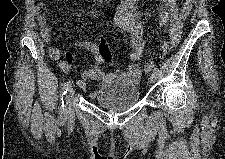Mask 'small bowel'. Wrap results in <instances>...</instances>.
<instances>
[{
  "label": "small bowel",
  "mask_w": 225,
  "mask_h": 159,
  "mask_svg": "<svg viewBox=\"0 0 225 159\" xmlns=\"http://www.w3.org/2000/svg\"><path fill=\"white\" fill-rule=\"evenodd\" d=\"M138 0H125L116 10L113 22L115 26L127 34L131 52L129 54L130 62L125 69H115L109 73L102 70L104 62L113 65L111 51L107 42L102 36H99L96 42L78 41L74 43L77 48H83L89 51L93 57L94 65L86 70L82 78L77 81L78 86L85 90L87 81H100L102 84L112 82L114 80L127 81L136 84L142 76V69L139 61L144 56L146 41L143 39L142 26L139 21L135 5ZM45 6L43 3H36L34 10L36 13V21L40 28V36L43 41L50 44V27L47 19L43 14ZM192 8V3L186 1L183 7L179 10L174 0H163L160 12V25L163 27L169 21L171 23L169 38L173 47H175L181 38L182 26L185 18ZM49 56L52 60L58 62L59 68L63 72H69L72 67V56L69 52L66 53V60H60L61 51L54 46L48 49ZM92 93L91 96H94Z\"/></svg>",
  "instance_id": "small-bowel-1"
}]
</instances>
